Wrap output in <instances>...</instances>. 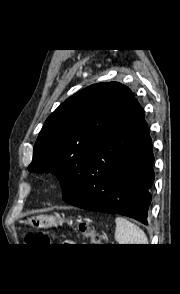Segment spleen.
Returning a JSON list of instances; mask_svg holds the SVG:
<instances>
[{"instance_id": "spleen-1", "label": "spleen", "mask_w": 180, "mask_h": 294, "mask_svg": "<svg viewBox=\"0 0 180 294\" xmlns=\"http://www.w3.org/2000/svg\"><path fill=\"white\" fill-rule=\"evenodd\" d=\"M115 240L118 244H148L144 231L123 217H116Z\"/></svg>"}]
</instances>
